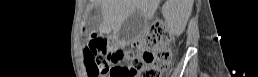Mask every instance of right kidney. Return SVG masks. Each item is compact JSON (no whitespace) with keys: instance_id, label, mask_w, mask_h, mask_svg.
Segmentation results:
<instances>
[{"instance_id":"obj_1","label":"right kidney","mask_w":258,"mask_h":77,"mask_svg":"<svg viewBox=\"0 0 258 77\" xmlns=\"http://www.w3.org/2000/svg\"><path fill=\"white\" fill-rule=\"evenodd\" d=\"M169 20L171 30L177 35L181 34L185 28V24L179 20L178 14L174 16V10L171 12Z\"/></svg>"}]
</instances>
